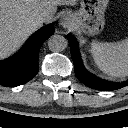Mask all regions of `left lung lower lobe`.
Listing matches in <instances>:
<instances>
[{
  "label": "left lung lower lobe",
  "instance_id": "0a47b994",
  "mask_svg": "<svg viewBox=\"0 0 128 128\" xmlns=\"http://www.w3.org/2000/svg\"><path fill=\"white\" fill-rule=\"evenodd\" d=\"M68 41L70 45L75 74L84 85L96 90L106 91L117 90L128 85V81L121 83L109 82L90 73L82 63V59L78 50L77 40L71 34H69Z\"/></svg>",
  "mask_w": 128,
  "mask_h": 128
}]
</instances>
